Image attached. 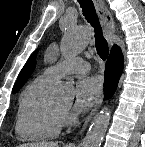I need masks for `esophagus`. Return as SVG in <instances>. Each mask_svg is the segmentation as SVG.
Wrapping results in <instances>:
<instances>
[{"instance_id": "obj_1", "label": "esophagus", "mask_w": 145, "mask_h": 147, "mask_svg": "<svg viewBox=\"0 0 145 147\" xmlns=\"http://www.w3.org/2000/svg\"><path fill=\"white\" fill-rule=\"evenodd\" d=\"M94 6L96 8V11L98 13V16L101 19V22L104 27V32L107 37L108 43L110 46H113L114 44V34H115V26L114 21L112 18L111 13L109 12L108 8L105 5V2L103 0H93ZM104 100V97L101 96L96 104L94 105L93 109L89 113V115L86 117L84 124L80 130V132H83L85 128L87 127L88 123L91 121V119L94 117L100 106L102 105Z\"/></svg>"}]
</instances>
